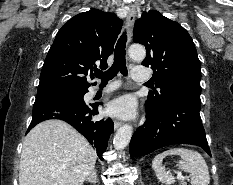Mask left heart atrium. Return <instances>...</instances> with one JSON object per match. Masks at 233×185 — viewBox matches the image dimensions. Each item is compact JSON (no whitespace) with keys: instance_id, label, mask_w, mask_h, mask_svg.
<instances>
[{"instance_id":"left-heart-atrium-1","label":"left heart atrium","mask_w":233,"mask_h":185,"mask_svg":"<svg viewBox=\"0 0 233 185\" xmlns=\"http://www.w3.org/2000/svg\"><path fill=\"white\" fill-rule=\"evenodd\" d=\"M107 112L114 117L130 119L136 114L135 101L128 95L121 96L109 103Z\"/></svg>"}]
</instances>
